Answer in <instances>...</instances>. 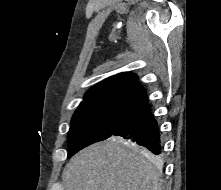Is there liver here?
Returning <instances> with one entry per match:
<instances>
[{
    "instance_id": "obj_1",
    "label": "liver",
    "mask_w": 221,
    "mask_h": 190,
    "mask_svg": "<svg viewBox=\"0 0 221 190\" xmlns=\"http://www.w3.org/2000/svg\"><path fill=\"white\" fill-rule=\"evenodd\" d=\"M156 158L119 137L76 154L63 171L66 190H162Z\"/></svg>"
}]
</instances>
